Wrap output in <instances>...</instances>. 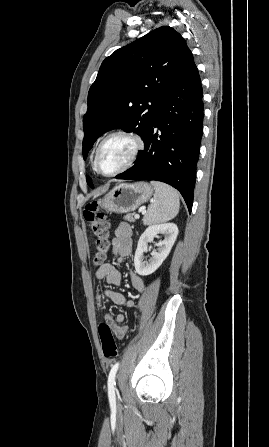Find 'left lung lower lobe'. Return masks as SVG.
I'll return each instance as SVG.
<instances>
[{
	"label": "left lung lower lobe",
	"mask_w": 269,
	"mask_h": 447,
	"mask_svg": "<svg viewBox=\"0 0 269 447\" xmlns=\"http://www.w3.org/2000/svg\"><path fill=\"white\" fill-rule=\"evenodd\" d=\"M203 91L188 49L151 123L135 165L116 179L157 180L176 188L189 212L203 129Z\"/></svg>",
	"instance_id": "0a47b994"
}]
</instances>
